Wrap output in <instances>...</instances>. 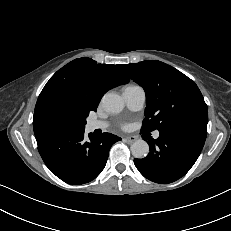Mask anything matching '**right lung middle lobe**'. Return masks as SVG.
Masks as SVG:
<instances>
[{"instance_id":"right-lung-middle-lobe-1","label":"right lung middle lobe","mask_w":231,"mask_h":231,"mask_svg":"<svg viewBox=\"0 0 231 231\" xmlns=\"http://www.w3.org/2000/svg\"><path fill=\"white\" fill-rule=\"evenodd\" d=\"M90 110L77 96H60L44 109L40 122L41 135L71 134L83 131Z\"/></svg>"}]
</instances>
